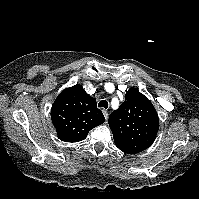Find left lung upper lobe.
<instances>
[{
  "instance_id": "1",
  "label": "left lung upper lobe",
  "mask_w": 199,
  "mask_h": 199,
  "mask_svg": "<svg viewBox=\"0 0 199 199\" xmlns=\"http://www.w3.org/2000/svg\"><path fill=\"white\" fill-rule=\"evenodd\" d=\"M109 126L116 146L127 154H135L154 142L159 119L147 97L136 89H129L125 101L110 114Z\"/></svg>"
}]
</instances>
